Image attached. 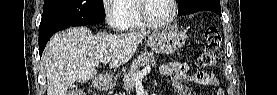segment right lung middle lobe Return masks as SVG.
<instances>
[{"instance_id":"obj_1","label":"right lung middle lobe","mask_w":277,"mask_h":95,"mask_svg":"<svg viewBox=\"0 0 277 95\" xmlns=\"http://www.w3.org/2000/svg\"><path fill=\"white\" fill-rule=\"evenodd\" d=\"M105 20L102 0H45L39 31L54 26H81Z\"/></svg>"}]
</instances>
